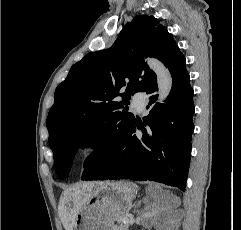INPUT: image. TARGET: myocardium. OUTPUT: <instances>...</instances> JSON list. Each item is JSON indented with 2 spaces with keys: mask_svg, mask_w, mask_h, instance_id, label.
<instances>
[{
  "mask_svg": "<svg viewBox=\"0 0 241 230\" xmlns=\"http://www.w3.org/2000/svg\"><path fill=\"white\" fill-rule=\"evenodd\" d=\"M100 149V144L94 139H82L74 144L70 157L73 161H80L96 154Z\"/></svg>",
  "mask_w": 241,
  "mask_h": 230,
  "instance_id": "myocardium-1",
  "label": "myocardium"
}]
</instances>
